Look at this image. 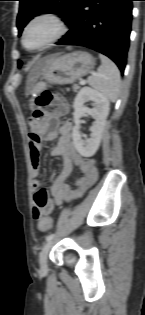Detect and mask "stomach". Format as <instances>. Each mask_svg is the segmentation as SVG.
Instances as JSON below:
<instances>
[{
  "label": "stomach",
  "mask_w": 145,
  "mask_h": 315,
  "mask_svg": "<svg viewBox=\"0 0 145 315\" xmlns=\"http://www.w3.org/2000/svg\"><path fill=\"white\" fill-rule=\"evenodd\" d=\"M47 65L41 71L40 80H50L52 84H71L92 71L95 65L93 56L85 51H75L69 54H55L43 58ZM34 107L32 102L27 104Z\"/></svg>",
  "instance_id": "obj_1"
}]
</instances>
